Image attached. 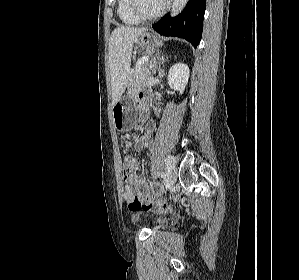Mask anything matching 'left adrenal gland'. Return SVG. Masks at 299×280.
Masks as SVG:
<instances>
[{
	"label": "left adrenal gland",
	"instance_id": "obj_1",
	"mask_svg": "<svg viewBox=\"0 0 299 280\" xmlns=\"http://www.w3.org/2000/svg\"><path fill=\"white\" fill-rule=\"evenodd\" d=\"M168 60V57L162 56H156L153 59V74L156 73L157 69H159L164 63Z\"/></svg>",
	"mask_w": 299,
	"mask_h": 280
}]
</instances>
